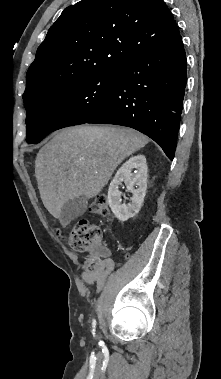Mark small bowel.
Wrapping results in <instances>:
<instances>
[{
	"label": "small bowel",
	"instance_id": "obj_1",
	"mask_svg": "<svg viewBox=\"0 0 221 379\" xmlns=\"http://www.w3.org/2000/svg\"><path fill=\"white\" fill-rule=\"evenodd\" d=\"M99 252L103 260L100 261L98 268L83 274V279L89 284H94L97 289L103 286L106 275L114 267L113 261L109 258V251L102 249Z\"/></svg>",
	"mask_w": 221,
	"mask_h": 379
}]
</instances>
